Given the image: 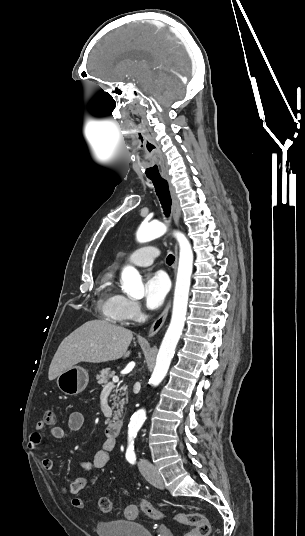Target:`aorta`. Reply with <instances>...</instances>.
<instances>
[{"instance_id": "1", "label": "aorta", "mask_w": 305, "mask_h": 536, "mask_svg": "<svg viewBox=\"0 0 305 536\" xmlns=\"http://www.w3.org/2000/svg\"><path fill=\"white\" fill-rule=\"evenodd\" d=\"M167 231V227L162 222L153 221L148 224H142L136 234L137 241L140 243L154 240ZM179 244V262L174 291L173 309L169 327L161 343L156 365L150 378L153 386L159 385L165 378L177 343L182 334L186 321L187 305L189 290L191 284V275L193 270V251L191 244L186 236L178 231L174 232ZM122 290L134 298L144 296V286L139 272L132 266H126L121 273ZM146 419V411L139 409L136 411L130 421V428L140 429Z\"/></svg>"}]
</instances>
